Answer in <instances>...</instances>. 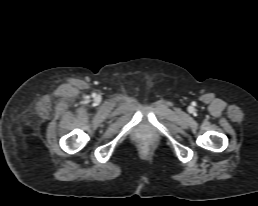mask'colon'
<instances>
[{
    "label": "colon",
    "mask_w": 258,
    "mask_h": 206,
    "mask_svg": "<svg viewBox=\"0 0 258 206\" xmlns=\"http://www.w3.org/2000/svg\"><path fill=\"white\" fill-rule=\"evenodd\" d=\"M142 148H143V149L147 148V144L143 143V144H142Z\"/></svg>",
    "instance_id": "1"
}]
</instances>
